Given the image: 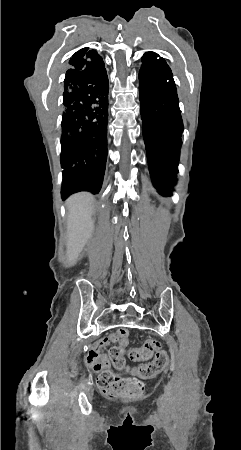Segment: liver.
<instances>
[{
	"label": "liver",
	"mask_w": 241,
	"mask_h": 450,
	"mask_svg": "<svg viewBox=\"0 0 241 450\" xmlns=\"http://www.w3.org/2000/svg\"><path fill=\"white\" fill-rule=\"evenodd\" d=\"M93 202H95L94 196L89 194V192L73 194V196H70L66 200V206L68 208V264H74L76 262L94 230V220H92Z\"/></svg>",
	"instance_id": "obj_1"
}]
</instances>
